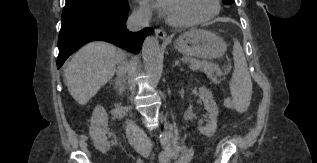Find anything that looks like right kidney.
Masks as SVG:
<instances>
[{
  "label": "right kidney",
  "mask_w": 317,
  "mask_h": 163,
  "mask_svg": "<svg viewBox=\"0 0 317 163\" xmlns=\"http://www.w3.org/2000/svg\"><path fill=\"white\" fill-rule=\"evenodd\" d=\"M90 123L89 133L95 148L103 153L107 152L110 149V143L106 137L108 116L103 107L96 106Z\"/></svg>",
  "instance_id": "right-kidney-1"
}]
</instances>
